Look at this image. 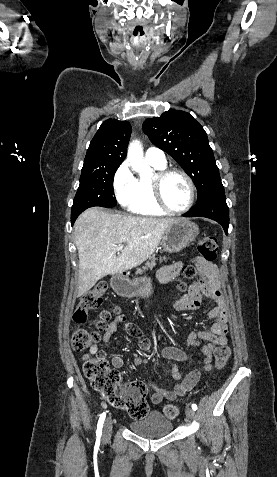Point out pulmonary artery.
Returning <instances> with one entry per match:
<instances>
[{
    "label": "pulmonary artery",
    "instance_id": "e3ab8cb5",
    "mask_svg": "<svg viewBox=\"0 0 277 477\" xmlns=\"http://www.w3.org/2000/svg\"><path fill=\"white\" fill-rule=\"evenodd\" d=\"M145 159L151 164L158 166L166 165V157L164 152L156 147H150L146 150Z\"/></svg>",
    "mask_w": 277,
    "mask_h": 477
}]
</instances>
